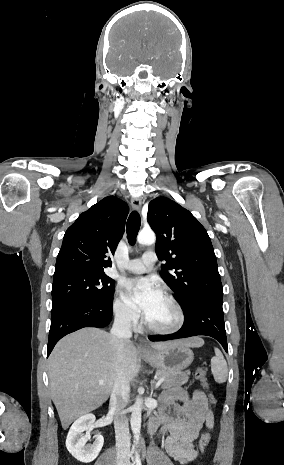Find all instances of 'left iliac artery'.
<instances>
[{
    "mask_svg": "<svg viewBox=\"0 0 284 465\" xmlns=\"http://www.w3.org/2000/svg\"><path fill=\"white\" fill-rule=\"evenodd\" d=\"M136 465H142L140 460H136Z\"/></svg>",
    "mask_w": 284,
    "mask_h": 465,
    "instance_id": "44dca946",
    "label": "left iliac artery"
}]
</instances>
